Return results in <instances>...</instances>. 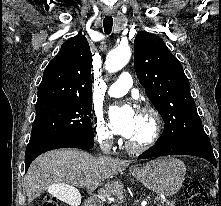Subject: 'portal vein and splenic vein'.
Wrapping results in <instances>:
<instances>
[{
	"label": "portal vein and splenic vein",
	"instance_id": "18ae733b",
	"mask_svg": "<svg viewBox=\"0 0 221 206\" xmlns=\"http://www.w3.org/2000/svg\"><path fill=\"white\" fill-rule=\"evenodd\" d=\"M94 188L95 187L88 188V191L91 193V192L94 191ZM53 191L55 193H57L59 191L58 187H53ZM98 197L100 199H107V198L110 197V194L106 190H101V191L98 192ZM155 199L158 200V198H155Z\"/></svg>",
	"mask_w": 221,
	"mask_h": 206
}]
</instances>
